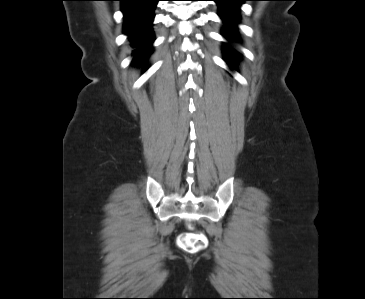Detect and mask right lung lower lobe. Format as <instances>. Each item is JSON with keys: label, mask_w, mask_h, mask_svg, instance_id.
Here are the masks:
<instances>
[{"label": "right lung lower lobe", "mask_w": 365, "mask_h": 299, "mask_svg": "<svg viewBox=\"0 0 365 299\" xmlns=\"http://www.w3.org/2000/svg\"><path fill=\"white\" fill-rule=\"evenodd\" d=\"M124 14L123 31L128 35L133 48V64L146 61L152 52L151 44L154 41L152 21L154 9L159 0H119ZM138 51V54L135 52Z\"/></svg>", "instance_id": "1"}]
</instances>
